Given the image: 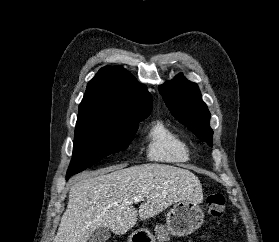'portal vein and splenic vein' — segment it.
Here are the masks:
<instances>
[{"label": "portal vein and splenic vein", "instance_id": "18ae733b", "mask_svg": "<svg viewBox=\"0 0 279 242\" xmlns=\"http://www.w3.org/2000/svg\"><path fill=\"white\" fill-rule=\"evenodd\" d=\"M142 200H144V197H142V196H140V195L135 196V197L133 198V202H134V203H137V202L142 201Z\"/></svg>", "mask_w": 279, "mask_h": 242}]
</instances>
